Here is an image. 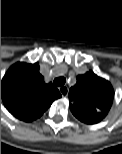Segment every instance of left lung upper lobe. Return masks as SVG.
Masks as SVG:
<instances>
[{"label":"left lung upper lobe","mask_w":122,"mask_h":154,"mask_svg":"<svg viewBox=\"0 0 122 154\" xmlns=\"http://www.w3.org/2000/svg\"><path fill=\"white\" fill-rule=\"evenodd\" d=\"M113 98L111 84L90 71L77 76V83L69 91V106L77 119L95 124L107 115Z\"/></svg>","instance_id":"1"}]
</instances>
